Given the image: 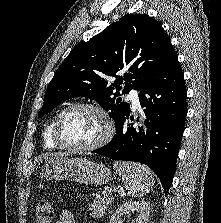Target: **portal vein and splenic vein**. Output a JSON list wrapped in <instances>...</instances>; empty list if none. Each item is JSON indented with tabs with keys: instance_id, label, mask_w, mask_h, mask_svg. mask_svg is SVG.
<instances>
[{
	"instance_id": "18ae733b",
	"label": "portal vein and splenic vein",
	"mask_w": 221,
	"mask_h": 223,
	"mask_svg": "<svg viewBox=\"0 0 221 223\" xmlns=\"http://www.w3.org/2000/svg\"><path fill=\"white\" fill-rule=\"evenodd\" d=\"M115 190L118 191L119 189L118 188H115ZM111 192H112V190L110 189V190H107L105 193L111 194Z\"/></svg>"
}]
</instances>
